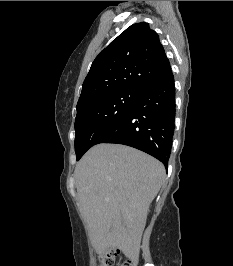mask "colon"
I'll return each instance as SVG.
<instances>
[{
    "mask_svg": "<svg viewBox=\"0 0 233 266\" xmlns=\"http://www.w3.org/2000/svg\"><path fill=\"white\" fill-rule=\"evenodd\" d=\"M115 252H109L100 256L101 266H115ZM120 266H136V259L134 257L127 258Z\"/></svg>",
    "mask_w": 233,
    "mask_h": 266,
    "instance_id": "5ec220e1",
    "label": "colon"
}]
</instances>
